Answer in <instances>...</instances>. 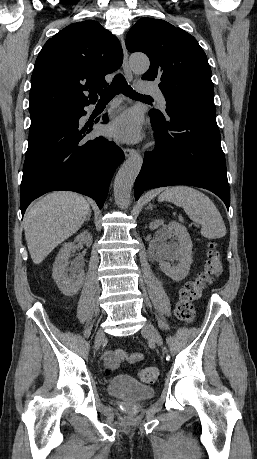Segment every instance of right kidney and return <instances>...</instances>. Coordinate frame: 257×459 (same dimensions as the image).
<instances>
[{"mask_svg":"<svg viewBox=\"0 0 257 459\" xmlns=\"http://www.w3.org/2000/svg\"><path fill=\"white\" fill-rule=\"evenodd\" d=\"M77 241H83L86 246H90L92 236L89 232L85 231L78 235L74 242L64 244L53 264L52 277L58 288L66 296L75 295L83 284V269L78 265L69 268V258L75 252V242ZM68 271H70V274L67 273Z\"/></svg>","mask_w":257,"mask_h":459,"instance_id":"1","label":"right kidney"}]
</instances>
